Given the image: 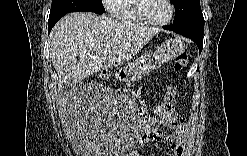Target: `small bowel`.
I'll return each instance as SVG.
<instances>
[{
	"mask_svg": "<svg viewBox=\"0 0 247 156\" xmlns=\"http://www.w3.org/2000/svg\"><path fill=\"white\" fill-rule=\"evenodd\" d=\"M171 107L172 112H165L168 114V117L164 118L162 124L157 125L168 127L172 133L170 135H161L159 132L154 138H148L145 135L141 138V141L158 140L164 142L169 147V155H181L185 150L184 142L187 136V126L184 118L173 111V106ZM147 123L150 124L149 118L147 119Z\"/></svg>",
	"mask_w": 247,
	"mask_h": 156,
	"instance_id": "c3829d8e",
	"label": "small bowel"
}]
</instances>
